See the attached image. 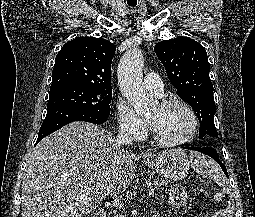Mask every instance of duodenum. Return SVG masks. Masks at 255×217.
I'll list each match as a JSON object with an SVG mask.
<instances>
[{"label": "duodenum", "instance_id": "duodenum-1", "mask_svg": "<svg viewBox=\"0 0 255 217\" xmlns=\"http://www.w3.org/2000/svg\"><path fill=\"white\" fill-rule=\"evenodd\" d=\"M92 217H107V212L104 209L98 210Z\"/></svg>", "mask_w": 255, "mask_h": 217}]
</instances>
